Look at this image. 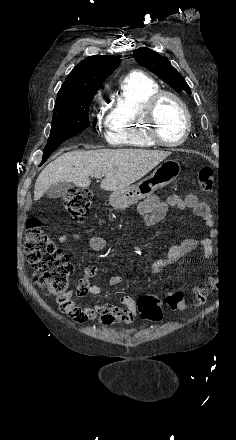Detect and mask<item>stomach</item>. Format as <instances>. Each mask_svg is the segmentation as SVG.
Returning a JSON list of instances; mask_svg holds the SVG:
<instances>
[{
	"instance_id": "1",
	"label": "stomach",
	"mask_w": 236,
	"mask_h": 440,
	"mask_svg": "<svg viewBox=\"0 0 236 440\" xmlns=\"http://www.w3.org/2000/svg\"><path fill=\"white\" fill-rule=\"evenodd\" d=\"M180 172L181 167L176 160H165L136 185L113 192L110 196V204L115 209L124 210L173 182Z\"/></svg>"
}]
</instances>
